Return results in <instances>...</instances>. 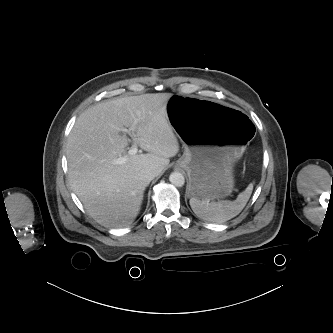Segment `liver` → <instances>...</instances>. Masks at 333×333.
<instances>
[{
	"label": "liver",
	"instance_id": "6515ba94",
	"mask_svg": "<svg viewBox=\"0 0 333 333\" xmlns=\"http://www.w3.org/2000/svg\"><path fill=\"white\" fill-rule=\"evenodd\" d=\"M172 94L157 93L104 101L88 108L75 122L66 144L71 187L88 213L111 227L131 224L141 210L148 182L138 172L152 168L160 174L179 152L167 119ZM131 129L147 154H126ZM128 160L121 165L114 160Z\"/></svg>",
	"mask_w": 333,
	"mask_h": 333
}]
</instances>
